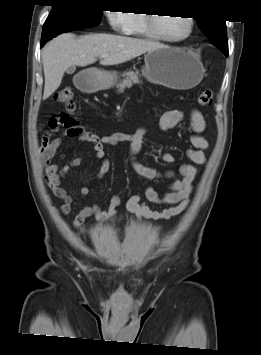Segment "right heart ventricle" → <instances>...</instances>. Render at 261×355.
<instances>
[{
  "label": "right heart ventricle",
  "instance_id": "1",
  "mask_svg": "<svg viewBox=\"0 0 261 355\" xmlns=\"http://www.w3.org/2000/svg\"><path fill=\"white\" fill-rule=\"evenodd\" d=\"M146 13L134 12L131 14V25L127 34L137 37L154 38L146 25Z\"/></svg>",
  "mask_w": 261,
  "mask_h": 355
}]
</instances>
